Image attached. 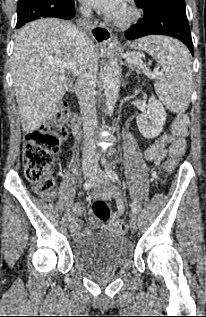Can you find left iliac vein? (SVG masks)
Instances as JSON below:
<instances>
[{"instance_id":"left-iliac-vein-1","label":"left iliac vein","mask_w":206,"mask_h":317,"mask_svg":"<svg viewBox=\"0 0 206 317\" xmlns=\"http://www.w3.org/2000/svg\"><path fill=\"white\" fill-rule=\"evenodd\" d=\"M96 174H99L100 173V171L99 170H96V172H95ZM100 183L102 184V185H108V178L106 177V176H100ZM130 226H131V229H132V231H136L137 230V228H138V219H137V217L135 216V215H133L132 217H131V220H130Z\"/></svg>"}]
</instances>
